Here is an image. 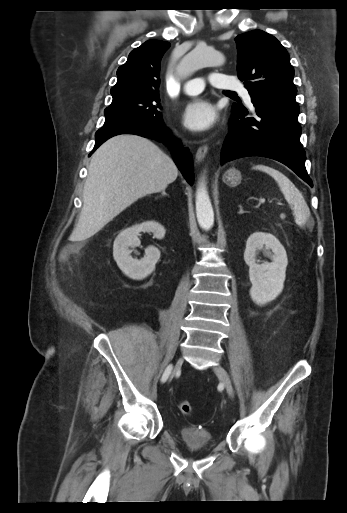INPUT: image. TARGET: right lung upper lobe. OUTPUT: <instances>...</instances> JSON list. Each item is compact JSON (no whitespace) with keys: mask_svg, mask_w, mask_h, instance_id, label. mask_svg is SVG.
I'll return each mask as SVG.
<instances>
[{"mask_svg":"<svg viewBox=\"0 0 347 513\" xmlns=\"http://www.w3.org/2000/svg\"><path fill=\"white\" fill-rule=\"evenodd\" d=\"M170 43L148 40L131 51L117 70L118 81L111 89L113 99L127 94H159L160 62Z\"/></svg>","mask_w":347,"mask_h":513,"instance_id":"1","label":"right lung upper lobe"}]
</instances>
